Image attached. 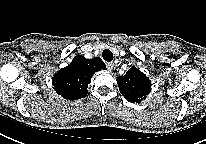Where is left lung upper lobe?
<instances>
[{
    "instance_id": "left-lung-upper-lobe-1",
    "label": "left lung upper lobe",
    "mask_w": 206,
    "mask_h": 144,
    "mask_svg": "<svg viewBox=\"0 0 206 144\" xmlns=\"http://www.w3.org/2000/svg\"><path fill=\"white\" fill-rule=\"evenodd\" d=\"M117 84L123 96L133 103H140L151 91L148 77L134 66L124 76L117 77Z\"/></svg>"
}]
</instances>
